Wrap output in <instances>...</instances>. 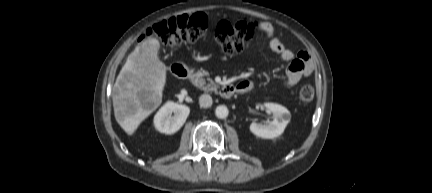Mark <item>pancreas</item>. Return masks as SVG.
<instances>
[{
    "instance_id": "obj_1",
    "label": "pancreas",
    "mask_w": 432,
    "mask_h": 193,
    "mask_svg": "<svg viewBox=\"0 0 432 193\" xmlns=\"http://www.w3.org/2000/svg\"><path fill=\"white\" fill-rule=\"evenodd\" d=\"M205 75H207V73L197 72L193 81L194 85L198 87H203L206 91H216L218 86L211 78H207V81L209 83L206 84V80L203 78V76Z\"/></svg>"
}]
</instances>
